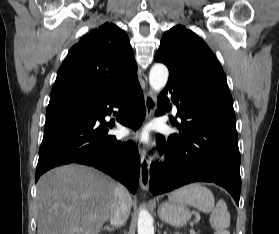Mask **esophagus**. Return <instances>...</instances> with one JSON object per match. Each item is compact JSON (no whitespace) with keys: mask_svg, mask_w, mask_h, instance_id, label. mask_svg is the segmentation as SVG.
<instances>
[{"mask_svg":"<svg viewBox=\"0 0 279 234\" xmlns=\"http://www.w3.org/2000/svg\"><path fill=\"white\" fill-rule=\"evenodd\" d=\"M145 107L146 115L145 120H149L156 109V95L153 91H145ZM150 180V161L146 155L145 150L140 152V185L142 190L147 191L149 187Z\"/></svg>","mask_w":279,"mask_h":234,"instance_id":"34e87169","label":"esophagus"}]
</instances>
